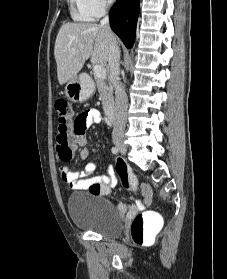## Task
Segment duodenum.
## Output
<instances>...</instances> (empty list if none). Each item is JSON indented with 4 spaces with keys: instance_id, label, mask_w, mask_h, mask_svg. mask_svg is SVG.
<instances>
[{
    "instance_id": "410a0bca",
    "label": "duodenum",
    "mask_w": 227,
    "mask_h": 279,
    "mask_svg": "<svg viewBox=\"0 0 227 279\" xmlns=\"http://www.w3.org/2000/svg\"><path fill=\"white\" fill-rule=\"evenodd\" d=\"M106 118L108 121L110 122H114L115 118H114V114H113V110L112 108H108L105 112Z\"/></svg>"
}]
</instances>
